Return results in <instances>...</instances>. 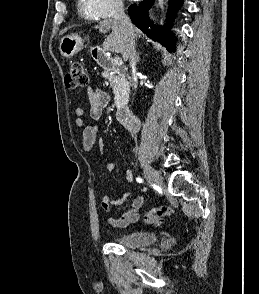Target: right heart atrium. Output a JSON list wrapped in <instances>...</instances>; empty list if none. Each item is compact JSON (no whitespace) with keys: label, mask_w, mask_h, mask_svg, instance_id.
Returning <instances> with one entry per match:
<instances>
[{"label":"right heart atrium","mask_w":259,"mask_h":294,"mask_svg":"<svg viewBox=\"0 0 259 294\" xmlns=\"http://www.w3.org/2000/svg\"><path fill=\"white\" fill-rule=\"evenodd\" d=\"M92 6L100 18H112L124 10L122 0H90Z\"/></svg>","instance_id":"d8ad5b80"}]
</instances>
